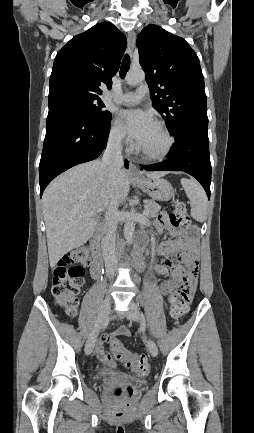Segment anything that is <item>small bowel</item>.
<instances>
[{
  "instance_id": "c3829d8e",
  "label": "small bowel",
  "mask_w": 254,
  "mask_h": 433,
  "mask_svg": "<svg viewBox=\"0 0 254 433\" xmlns=\"http://www.w3.org/2000/svg\"><path fill=\"white\" fill-rule=\"evenodd\" d=\"M159 232L169 230L168 224L158 220L156 223ZM171 232L178 236L175 240H165L158 247V254L162 257V263L154 266V271L162 276L169 272L172 277L163 282L160 290L165 296H176L181 301H188L192 298L197 284L198 259H197V238L195 235L184 234L182 230L176 228ZM177 253V262L169 261V255ZM176 290V292H174ZM121 329V328H120ZM119 329V330H120ZM119 330L107 333L101 336L96 348L99 359L108 367L114 368L116 362L114 358L106 351L105 344L110 343L116 336H119ZM130 331L128 330V335Z\"/></svg>"
}]
</instances>
